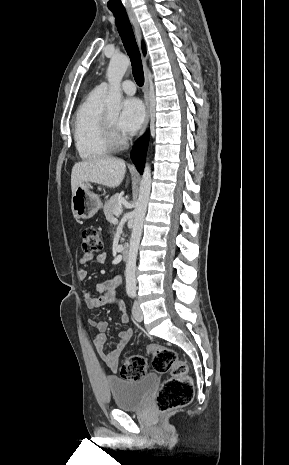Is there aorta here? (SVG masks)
<instances>
[{
  "mask_svg": "<svg viewBox=\"0 0 289 465\" xmlns=\"http://www.w3.org/2000/svg\"><path fill=\"white\" fill-rule=\"evenodd\" d=\"M130 65V60L126 56H114L111 58L106 76L109 82V94L105 99V106L107 109L119 112L122 109V90L121 81L123 76ZM151 190V168L146 163L142 180L140 183V190L138 200L134 209V225L130 238L128 259L125 268L126 290L136 291V259L138 248L140 244L144 218L147 211Z\"/></svg>",
  "mask_w": 289,
  "mask_h": 465,
  "instance_id": "obj_1",
  "label": "aorta"
}]
</instances>
